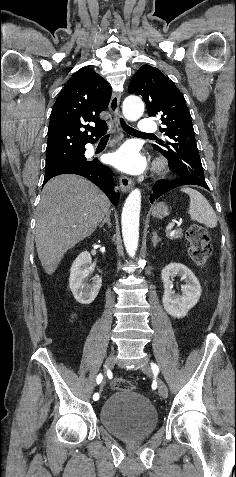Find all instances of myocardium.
<instances>
[{
  "mask_svg": "<svg viewBox=\"0 0 236 477\" xmlns=\"http://www.w3.org/2000/svg\"><path fill=\"white\" fill-rule=\"evenodd\" d=\"M167 167V162L165 159L163 158H159L155 161L154 163V170L157 172V173H161L163 172Z\"/></svg>",
  "mask_w": 236,
  "mask_h": 477,
  "instance_id": "1",
  "label": "myocardium"
}]
</instances>
